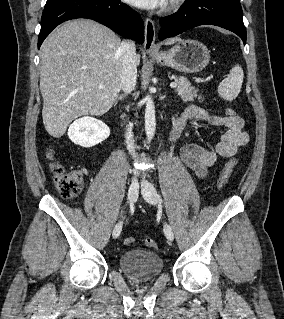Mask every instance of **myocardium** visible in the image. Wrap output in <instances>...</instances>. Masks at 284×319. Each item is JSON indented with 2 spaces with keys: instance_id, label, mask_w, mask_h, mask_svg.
Returning a JSON list of instances; mask_svg holds the SVG:
<instances>
[{
  "instance_id": "f54148a6",
  "label": "myocardium",
  "mask_w": 284,
  "mask_h": 319,
  "mask_svg": "<svg viewBox=\"0 0 284 319\" xmlns=\"http://www.w3.org/2000/svg\"><path fill=\"white\" fill-rule=\"evenodd\" d=\"M184 0H169V9H176L182 5Z\"/></svg>"
}]
</instances>
